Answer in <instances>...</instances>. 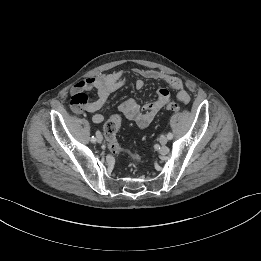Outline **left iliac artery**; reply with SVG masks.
Listing matches in <instances>:
<instances>
[{
  "mask_svg": "<svg viewBox=\"0 0 261 261\" xmlns=\"http://www.w3.org/2000/svg\"><path fill=\"white\" fill-rule=\"evenodd\" d=\"M167 138H168L169 140H171V139L173 138V134L169 132V133L167 134Z\"/></svg>",
  "mask_w": 261,
  "mask_h": 261,
  "instance_id": "obj_1",
  "label": "left iliac artery"
}]
</instances>
